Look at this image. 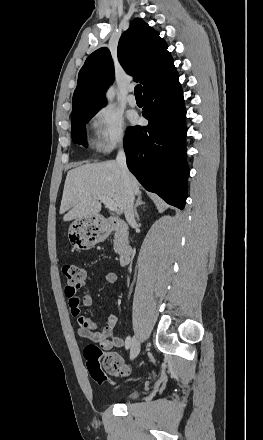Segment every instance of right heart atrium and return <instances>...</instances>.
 Masks as SVG:
<instances>
[{
	"mask_svg": "<svg viewBox=\"0 0 263 440\" xmlns=\"http://www.w3.org/2000/svg\"><path fill=\"white\" fill-rule=\"evenodd\" d=\"M94 145L102 153H109L126 141L124 120L111 106L97 110L92 118Z\"/></svg>",
	"mask_w": 263,
	"mask_h": 440,
	"instance_id": "d8ad5b80",
	"label": "right heart atrium"
}]
</instances>
